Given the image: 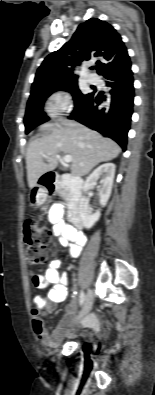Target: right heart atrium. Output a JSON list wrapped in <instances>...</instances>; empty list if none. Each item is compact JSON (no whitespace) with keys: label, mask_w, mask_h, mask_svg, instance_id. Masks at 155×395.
Masks as SVG:
<instances>
[{"label":"right heart atrium","mask_w":155,"mask_h":395,"mask_svg":"<svg viewBox=\"0 0 155 395\" xmlns=\"http://www.w3.org/2000/svg\"><path fill=\"white\" fill-rule=\"evenodd\" d=\"M71 108V97L67 91H57L50 96L46 111L50 117L56 118L67 113Z\"/></svg>","instance_id":"d8ad5b80"}]
</instances>
